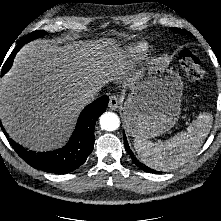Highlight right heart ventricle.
<instances>
[{
  "instance_id": "right-heart-ventricle-1",
  "label": "right heart ventricle",
  "mask_w": 221,
  "mask_h": 221,
  "mask_svg": "<svg viewBox=\"0 0 221 221\" xmlns=\"http://www.w3.org/2000/svg\"><path fill=\"white\" fill-rule=\"evenodd\" d=\"M147 52L145 43H136L114 53L110 60V69L120 72L141 59Z\"/></svg>"
}]
</instances>
